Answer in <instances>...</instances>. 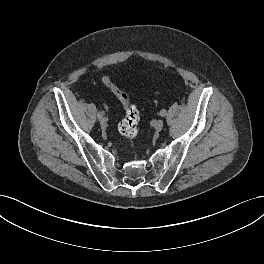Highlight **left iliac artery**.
Masks as SVG:
<instances>
[{
  "instance_id": "44dca946",
  "label": "left iliac artery",
  "mask_w": 264,
  "mask_h": 264,
  "mask_svg": "<svg viewBox=\"0 0 264 264\" xmlns=\"http://www.w3.org/2000/svg\"><path fill=\"white\" fill-rule=\"evenodd\" d=\"M166 114H167V111H166L165 109H162V110L160 111V115H161L162 117L166 116Z\"/></svg>"
}]
</instances>
